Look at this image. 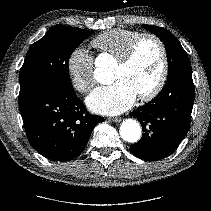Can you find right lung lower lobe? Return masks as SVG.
I'll list each match as a JSON object with an SVG mask.
<instances>
[{
	"label": "right lung lower lobe",
	"mask_w": 211,
	"mask_h": 211,
	"mask_svg": "<svg viewBox=\"0 0 211 211\" xmlns=\"http://www.w3.org/2000/svg\"><path fill=\"white\" fill-rule=\"evenodd\" d=\"M19 108L31 146L52 161H69L85 148L103 117L90 115L76 96L53 83H39L19 93Z\"/></svg>",
	"instance_id": "1"
}]
</instances>
